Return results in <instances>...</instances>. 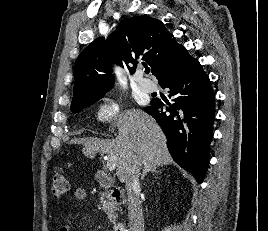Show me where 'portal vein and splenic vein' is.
I'll return each instance as SVG.
<instances>
[{
	"mask_svg": "<svg viewBox=\"0 0 268 231\" xmlns=\"http://www.w3.org/2000/svg\"><path fill=\"white\" fill-rule=\"evenodd\" d=\"M117 166V157L114 154H109L107 156V163H106V168L112 172L115 170Z\"/></svg>",
	"mask_w": 268,
	"mask_h": 231,
	"instance_id": "portal-vein-and-splenic-vein-1",
	"label": "portal vein and splenic vein"
}]
</instances>
